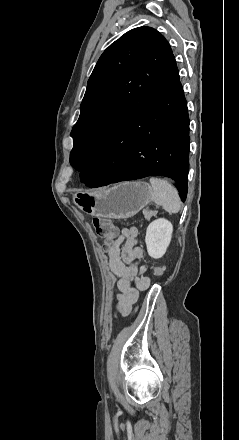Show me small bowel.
I'll use <instances>...</instances> for the list:
<instances>
[{
    "instance_id": "c3829d8e",
    "label": "small bowel",
    "mask_w": 239,
    "mask_h": 440,
    "mask_svg": "<svg viewBox=\"0 0 239 440\" xmlns=\"http://www.w3.org/2000/svg\"><path fill=\"white\" fill-rule=\"evenodd\" d=\"M143 251L138 246L136 227L121 229L108 249V265L117 278L116 311L128 315L139 297L148 288L150 277L147 266H142Z\"/></svg>"
}]
</instances>
